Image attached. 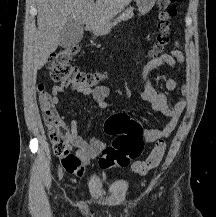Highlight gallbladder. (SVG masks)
<instances>
[{
	"label": "gallbladder",
	"instance_id": "gallbladder-1",
	"mask_svg": "<svg viewBox=\"0 0 216 217\" xmlns=\"http://www.w3.org/2000/svg\"><path fill=\"white\" fill-rule=\"evenodd\" d=\"M83 38V26L69 18L60 33L59 45L63 48L72 47L78 44Z\"/></svg>",
	"mask_w": 216,
	"mask_h": 217
}]
</instances>
